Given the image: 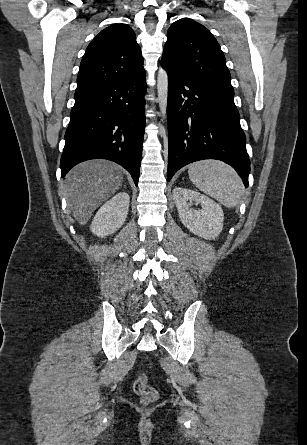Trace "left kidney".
Listing matches in <instances>:
<instances>
[{"instance_id": "obj_1", "label": "left kidney", "mask_w": 307, "mask_h": 445, "mask_svg": "<svg viewBox=\"0 0 307 445\" xmlns=\"http://www.w3.org/2000/svg\"><path fill=\"white\" fill-rule=\"evenodd\" d=\"M173 196L181 223L190 233L198 235L202 239H207V241H214L219 237L223 229L224 212L215 200L205 196V194L196 192V190L182 188V186L174 188ZM193 200L195 204L201 202V210L191 208Z\"/></svg>"}]
</instances>
